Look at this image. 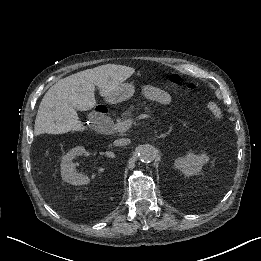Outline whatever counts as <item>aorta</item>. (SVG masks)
<instances>
[{
  "mask_svg": "<svg viewBox=\"0 0 261 261\" xmlns=\"http://www.w3.org/2000/svg\"><path fill=\"white\" fill-rule=\"evenodd\" d=\"M137 153L140 161L144 163H150L156 157V149L151 144H143L138 146Z\"/></svg>",
  "mask_w": 261,
  "mask_h": 261,
  "instance_id": "1",
  "label": "aorta"
}]
</instances>
